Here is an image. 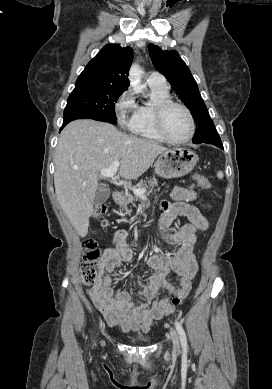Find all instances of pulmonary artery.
I'll list each match as a JSON object with an SVG mask.
<instances>
[{
    "label": "pulmonary artery",
    "mask_w": 272,
    "mask_h": 389,
    "mask_svg": "<svg viewBox=\"0 0 272 389\" xmlns=\"http://www.w3.org/2000/svg\"><path fill=\"white\" fill-rule=\"evenodd\" d=\"M146 82L149 86L168 88L165 78L159 73L152 72L147 76Z\"/></svg>",
    "instance_id": "pulmonary-artery-1"
}]
</instances>
